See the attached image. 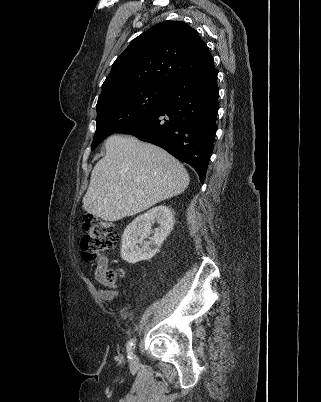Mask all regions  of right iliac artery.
I'll list each match as a JSON object with an SVG mask.
<instances>
[{"label":"right iliac artery","instance_id":"obj_1","mask_svg":"<svg viewBox=\"0 0 321 402\" xmlns=\"http://www.w3.org/2000/svg\"><path fill=\"white\" fill-rule=\"evenodd\" d=\"M134 345H135V340L130 339L128 344H127V353H128V358L132 359L133 358V350H134Z\"/></svg>","mask_w":321,"mask_h":402}]
</instances>
